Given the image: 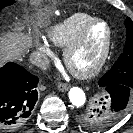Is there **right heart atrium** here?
I'll list each match as a JSON object with an SVG mask.
<instances>
[{"label": "right heart atrium", "instance_id": "d8ad5b80", "mask_svg": "<svg viewBox=\"0 0 133 133\" xmlns=\"http://www.w3.org/2000/svg\"><path fill=\"white\" fill-rule=\"evenodd\" d=\"M36 48L45 56L51 57L53 55L50 45L43 39L36 41Z\"/></svg>", "mask_w": 133, "mask_h": 133}]
</instances>
